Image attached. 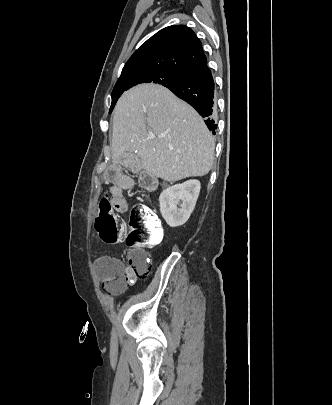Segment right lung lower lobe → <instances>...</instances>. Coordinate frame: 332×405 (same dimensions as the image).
Listing matches in <instances>:
<instances>
[{"instance_id": "obj_1", "label": "right lung lower lobe", "mask_w": 332, "mask_h": 405, "mask_svg": "<svg viewBox=\"0 0 332 405\" xmlns=\"http://www.w3.org/2000/svg\"><path fill=\"white\" fill-rule=\"evenodd\" d=\"M177 97L189 103L202 116L205 123L215 134L217 127L212 116L216 111L215 84L207 67L190 74L177 83L167 86Z\"/></svg>"}]
</instances>
